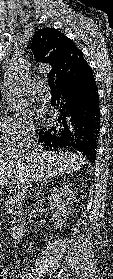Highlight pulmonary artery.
Wrapping results in <instances>:
<instances>
[{
    "label": "pulmonary artery",
    "instance_id": "pulmonary-artery-1",
    "mask_svg": "<svg viewBox=\"0 0 113 279\" xmlns=\"http://www.w3.org/2000/svg\"><path fill=\"white\" fill-rule=\"evenodd\" d=\"M36 91L39 95H41L45 101H49L51 98V93H50V89L48 88V86L44 83H38L36 84Z\"/></svg>",
    "mask_w": 113,
    "mask_h": 279
}]
</instances>
